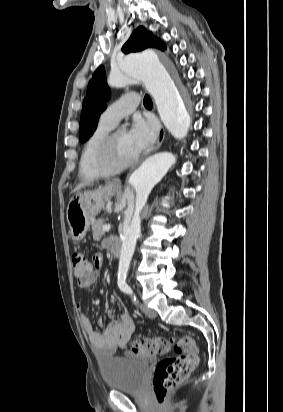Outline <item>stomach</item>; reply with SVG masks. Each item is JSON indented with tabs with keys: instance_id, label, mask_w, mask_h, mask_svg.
I'll use <instances>...</instances> for the list:
<instances>
[{
	"instance_id": "stomach-1",
	"label": "stomach",
	"mask_w": 283,
	"mask_h": 412,
	"mask_svg": "<svg viewBox=\"0 0 283 412\" xmlns=\"http://www.w3.org/2000/svg\"><path fill=\"white\" fill-rule=\"evenodd\" d=\"M118 191L117 187L107 184L102 188L84 193H77L67 207V221L73 241L82 240L90 227L91 219L104 208L105 200Z\"/></svg>"
}]
</instances>
